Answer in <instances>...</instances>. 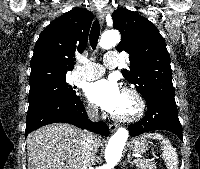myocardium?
Returning a JSON list of instances; mask_svg holds the SVG:
<instances>
[{
    "mask_svg": "<svg viewBox=\"0 0 200 169\" xmlns=\"http://www.w3.org/2000/svg\"><path fill=\"white\" fill-rule=\"evenodd\" d=\"M123 93L130 95L135 102V110L133 113L125 116L113 115L114 120L122 123H134L143 118L146 112V103L142 95L135 89L131 87H125Z\"/></svg>",
    "mask_w": 200,
    "mask_h": 169,
    "instance_id": "myocardium-1",
    "label": "myocardium"
}]
</instances>
